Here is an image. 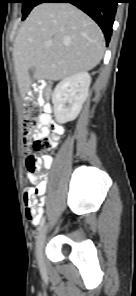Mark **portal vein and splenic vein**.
<instances>
[{
  "label": "portal vein and splenic vein",
  "mask_w": 136,
  "mask_h": 296,
  "mask_svg": "<svg viewBox=\"0 0 136 296\" xmlns=\"http://www.w3.org/2000/svg\"><path fill=\"white\" fill-rule=\"evenodd\" d=\"M50 45H51V43H49V42L45 43L46 47H49Z\"/></svg>",
  "instance_id": "portal-vein-and-splenic-vein-1"
}]
</instances>
